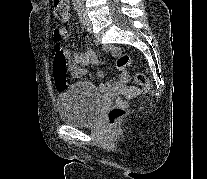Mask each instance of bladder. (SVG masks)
Segmentation results:
<instances>
[{
  "mask_svg": "<svg viewBox=\"0 0 207 179\" xmlns=\"http://www.w3.org/2000/svg\"><path fill=\"white\" fill-rule=\"evenodd\" d=\"M60 118L68 125H92L99 116L101 95L94 85L77 82L64 88L57 96Z\"/></svg>",
  "mask_w": 207,
  "mask_h": 179,
  "instance_id": "bladder-1",
  "label": "bladder"
}]
</instances>
